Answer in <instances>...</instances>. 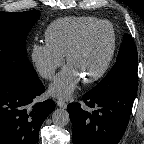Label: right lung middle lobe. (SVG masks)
<instances>
[{
    "mask_svg": "<svg viewBox=\"0 0 144 144\" xmlns=\"http://www.w3.org/2000/svg\"><path fill=\"white\" fill-rule=\"evenodd\" d=\"M39 16L38 10L0 12V81L33 85L39 80L25 46L27 35Z\"/></svg>",
    "mask_w": 144,
    "mask_h": 144,
    "instance_id": "1",
    "label": "right lung middle lobe"
}]
</instances>
